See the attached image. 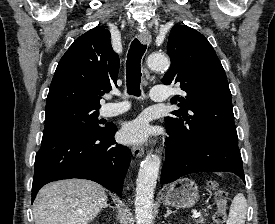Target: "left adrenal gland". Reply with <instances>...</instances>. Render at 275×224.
<instances>
[{
	"instance_id": "a2214340",
	"label": "left adrenal gland",
	"mask_w": 275,
	"mask_h": 224,
	"mask_svg": "<svg viewBox=\"0 0 275 224\" xmlns=\"http://www.w3.org/2000/svg\"><path fill=\"white\" fill-rule=\"evenodd\" d=\"M174 212H172L168 207H167V213L164 215V217H168L170 214H172Z\"/></svg>"
}]
</instances>
